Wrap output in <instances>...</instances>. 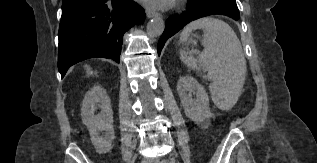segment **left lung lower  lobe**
<instances>
[{"instance_id": "left-lung-lower-lobe-1", "label": "left lung lower lobe", "mask_w": 317, "mask_h": 163, "mask_svg": "<svg viewBox=\"0 0 317 163\" xmlns=\"http://www.w3.org/2000/svg\"><path fill=\"white\" fill-rule=\"evenodd\" d=\"M187 9L189 11L186 13L167 19L165 30L158 41V55L167 39L191 21L214 14L226 15L235 20L239 18V11L222 5L204 4L203 0H188Z\"/></svg>"}]
</instances>
